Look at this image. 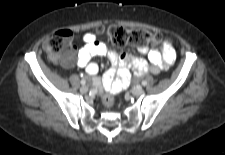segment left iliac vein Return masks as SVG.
Wrapping results in <instances>:
<instances>
[{"label":"left iliac vein","instance_id":"obj_1","mask_svg":"<svg viewBox=\"0 0 225 155\" xmlns=\"http://www.w3.org/2000/svg\"><path fill=\"white\" fill-rule=\"evenodd\" d=\"M132 93H133V95H135V96H141V95H143L145 92H144L143 89L139 88V89L133 90Z\"/></svg>","mask_w":225,"mask_h":155}]
</instances>
